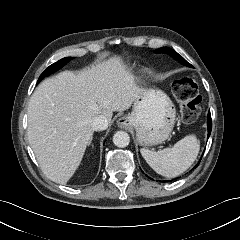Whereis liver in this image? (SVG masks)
Wrapping results in <instances>:
<instances>
[{
	"instance_id": "1",
	"label": "liver",
	"mask_w": 240,
	"mask_h": 240,
	"mask_svg": "<svg viewBox=\"0 0 240 240\" xmlns=\"http://www.w3.org/2000/svg\"><path fill=\"white\" fill-rule=\"evenodd\" d=\"M142 88L119 57L44 80L28 105L29 143L43 173L66 184L79 167L94 130L91 121L129 109Z\"/></svg>"
}]
</instances>
